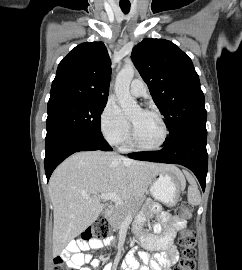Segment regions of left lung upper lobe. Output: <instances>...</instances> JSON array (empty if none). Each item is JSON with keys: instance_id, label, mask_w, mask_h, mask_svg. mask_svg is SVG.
<instances>
[{"instance_id": "1", "label": "left lung upper lobe", "mask_w": 242, "mask_h": 270, "mask_svg": "<svg viewBox=\"0 0 242 270\" xmlns=\"http://www.w3.org/2000/svg\"><path fill=\"white\" fill-rule=\"evenodd\" d=\"M131 58L166 119V140L188 128L205 126L204 94L188 55L168 40L144 39L133 48Z\"/></svg>"}]
</instances>
